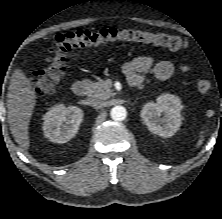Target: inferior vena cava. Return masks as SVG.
Wrapping results in <instances>:
<instances>
[{"instance_id": "obj_1", "label": "inferior vena cava", "mask_w": 222, "mask_h": 219, "mask_svg": "<svg viewBox=\"0 0 222 219\" xmlns=\"http://www.w3.org/2000/svg\"><path fill=\"white\" fill-rule=\"evenodd\" d=\"M89 105L92 106L95 109H100L103 107L104 102L99 100V99H90L89 100Z\"/></svg>"}]
</instances>
